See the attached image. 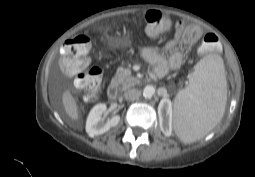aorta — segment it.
<instances>
[{
	"mask_svg": "<svg viewBox=\"0 0 255 177\" xmlns=\"http://www.w3.org/2000/svg\"><path fill=\"white\" fill-rule=\"evenodd\" d=\"M155 94V87L154 86H151V85H147L145 86V88L143 89V96L145 98H152L153 95Z\"/></svg>",
	"mask_w": 255,
	"mask_h": 177,
	"instance_id": "762f6f07",
	"label": "aorta"
}]
</instances>
